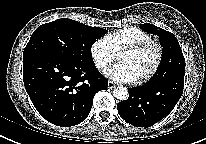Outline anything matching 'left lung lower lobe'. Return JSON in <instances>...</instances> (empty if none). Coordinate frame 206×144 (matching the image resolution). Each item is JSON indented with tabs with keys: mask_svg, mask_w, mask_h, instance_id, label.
I'll return each mask as SVG.
<instances>
[{
	"mask_svg": "<svg viewBox=\"0 0 206 144\" xmlns=\"http://www.w3.org/2000/svg\"><path fill=\"white\" fill-rule=\"evenodd\" d=\"M185 68L172 69L161 80L129 88V98L117 105L120 116L137 127H150L166 117L183 93Z\"/></svg>",
	"mask_w": 206,
	"mask_h": 144,
	"instance_id": "obj_1",
	"label": "left lung lower lobe"
}]
</instances>
